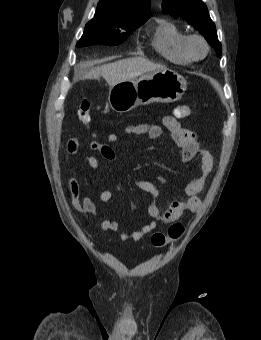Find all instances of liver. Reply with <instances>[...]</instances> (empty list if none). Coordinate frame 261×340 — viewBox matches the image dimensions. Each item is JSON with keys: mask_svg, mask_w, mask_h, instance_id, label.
Wrapping results in <instances>:
<instances>
[{"mask_svg": "<svg viewBox=\"0 0 261 340\" xmlns=\"http://www.w3.org/2000/svg\"><path fill=\"white\" fill-rule=\"evenodd\" d=\"M165 66L153 63L144 57H131L91 69L84 79H99L102 76L110 87L145 73L158 72Z\"/></svg>", "mask_w": 261, "mask_h": 340, "instance_id": "obj_1", "label": "liver"}]
</instances>
